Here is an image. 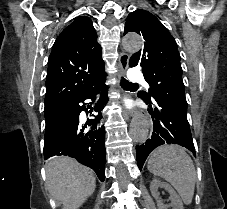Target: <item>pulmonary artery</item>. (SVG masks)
Instances as JSON below:
<instances>
[{"label":"pulmonary artery","mask_w":227,"mask_h":209,"mask_svg":"<svg viewBox=\"0 0 227 209\" xmlns=\"http://www.w3.org/2000/svg\"><path fill=\"white\" fill-rule=\"evenodd\" d=\"M124 77L128 78V83H143L144 73L141 70H134V67H131L129 73H125Z\"/></svg>","instance_id":"e3ab8cb5"}]
</instances>
